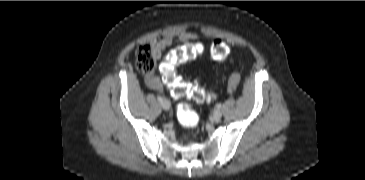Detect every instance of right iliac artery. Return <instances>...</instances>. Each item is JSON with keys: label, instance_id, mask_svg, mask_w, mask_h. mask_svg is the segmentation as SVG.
<instances>
[{"label": "right iliac artery", "instance_id": "obj_1", "mask_svg": "<svg viewBox=\"0 0 365 180\" xmlns=\"http://www.w3.org/2000/svg\"><path fill=\"white\" fill-rule=\"evenodd\" d=\"M157 99H158L159 102H162V100H163L162 97L159 96V95L157 96Z\"/></svg>", "mask_w": 365, "mask_h": 180}]
</instances>
